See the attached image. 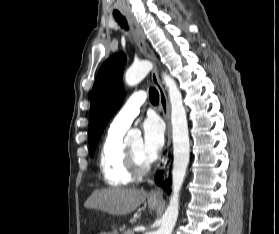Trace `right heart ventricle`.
<instances>
[{
  "label": "right heart ventricle",
  "mask_w": 279,
  "mask_h": 234,
  "mask_svg": "<svg viewBox=\"0 0 279 234\" xmlns=\"http://www.w3.org/2000/svg\"><path fill=\"white\" fill-rule=\"evenodd\" d=\"M124 132L109 130L99 151V167L104 182L112 187L127 185L133 176L126 166Z\"/></svg>",
  "instance_id": "1"
}]
</instances>
